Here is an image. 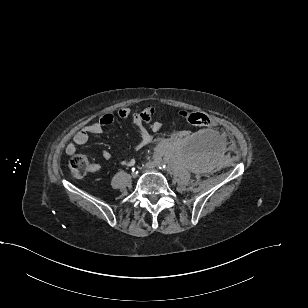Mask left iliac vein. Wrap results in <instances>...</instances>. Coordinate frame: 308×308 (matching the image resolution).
<instances>
[{"instance_id":"obj_1","label":"left iliac vein","mask_w":308,"mask_h":308,"mask_svg":"<svg viewBox=\"0 0 308 308\" xmlns=\"http://www.w3.org/2000/svg\"><path fill=\"white\" fill-rule=\"evenodd\" d=\"M146 169H147V170H150V171H156V170H155L154 164H151V163H148V164L146 165Z\"/></svg>"}]
</instances>
